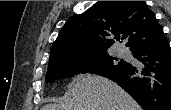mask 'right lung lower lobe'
Listing matches in <instances>:
<instances>
[{"mask_svg":"<svg viewBox=\"0 0 171 110\" xmlns=\"http://www.w3.org/2000/svg\"><path fill=\"white\" fill-rule=\"evenodd\" d=\"M133 52L141 65L129 63L103 76L118 83L144 110H171V49L166 37Z\"/></svg>","mask_w":171,"mask_h":110,"instance_id":"1","label":"right lung lower lobe"}]
</instances>
